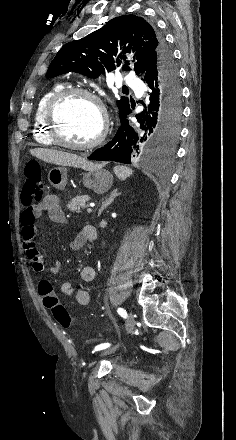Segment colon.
<instances>
[{
  "label": "colon",
  "mask_w": 236,
  "mask_h": 440,
  "mask_svg": "<svg viewBox=\"0 0 236 440\" xmlns=\"http://www.w3.org/2000/svg\"><path fill=\"white\" fill-rule=\"evenodd\" d=\"M24 177L21 200L25 206H30L33 202L39 201L44 193L40 165L37 162L27 163L24 168ZM39 290L55 320L63 327H70L74 319L53 293L51 284L48 281H41Z\"/></svg>",
  "instance_id": "colon-1"
}]
</instances>
